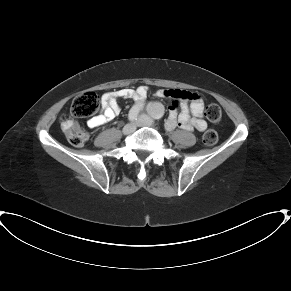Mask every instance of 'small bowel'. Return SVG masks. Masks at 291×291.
I'll list each match as a JSON object with an SVG mask.
<instances>
[{"mask_svg":"<svg viewBox=\"0 0 291 291\" xmlns=\"http://www.w3.org/2000/svg\"><path fill=\"white\" fill-rule=\"evenodd\" d=\"M148 94L146 86H140L137 89H120L106 92L101 98V111L87 121L89 128H98L114 119L119 112L118 99L132 98L135 101V107L138 110L143 109L144 101ZM155 95L158 98L171 101L169 114L165 122V128L168 131L181 127L188 131H204L207 127L203 119V98L201 95L179 89H159ZM180 104V113L175 107Z\"/></svg>","mask_w":291,"mask_h":291,"instance_id":"c3829d8e","label":"small bowel"}]
</instances>
